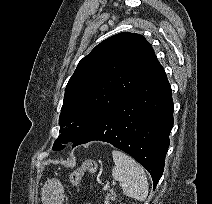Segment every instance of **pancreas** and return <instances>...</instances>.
Instances as JSON below:
<instances>
[{"label":"pancreas","instance_id":"cf45deb5","mask_svg":"<svg viewBox=\"0 0 212 204\" xmlns=\"http://www.w3.org/2000/svg\"><path fill=\"white\" fill-rule=\"evenodd\" d=\"M115 198H116V194L112 189V190H110V193L107 194L105 201H104V204H109V200L114 201Z\"/></svg>","mask_w":212,"mask_h":204}]
</instances>
